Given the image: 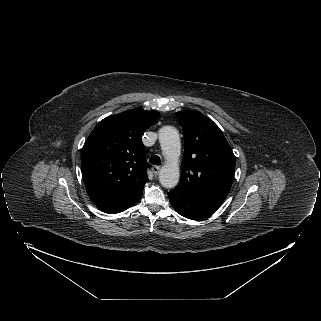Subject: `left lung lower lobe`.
Instances as JSON below:
<instances>
[{"label":"left lung lower lobe","mask_w":321,"mask_h":321,"mask_svg":"<svg viewBox=\"0 0 321 321\" xmlns=\"http://www.w3.org/2000/svg\"><path fill=\"white\" fill-rule=\"evenodd\" d=\"M173 208L182 216L198 220L213 214L222 204L221 201L190 196L173 190L168 193Z\"/></svg>","instance_id":"0a47b994"}]
</instances>
